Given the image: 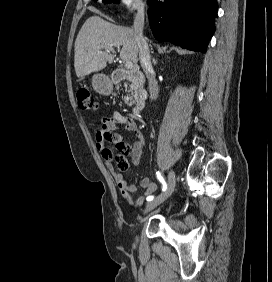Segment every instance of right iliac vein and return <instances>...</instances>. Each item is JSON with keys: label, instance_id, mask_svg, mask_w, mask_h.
I'll use <instances>...</instances> for the list:
<instances>
[{"label": "right iliac vein", "instance_id": "63e3f726", "mask_svg": "<svg viewBox=\"0 0 272 282\" xmlns=\"http://www.w3.org/2000/svg\"><path fill=\"white\" fill-rule=\"evenodd\" d=\"M176 183V176L175 173L172 171L169 175L166 190L158 195L155 199L151 200L147 203L146 208L144 210V214H147L149 211L156 208L158 205L163 203L174 191Z\"/></svg>", "mask_w": 272, "mask_h": 282}]
</instances>
